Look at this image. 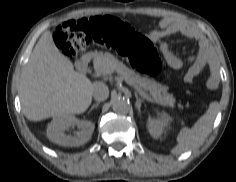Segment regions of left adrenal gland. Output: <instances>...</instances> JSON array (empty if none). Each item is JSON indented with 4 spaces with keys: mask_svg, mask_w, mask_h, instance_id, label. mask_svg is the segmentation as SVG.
I'll return each instance as SVG.
<instances>
[{
    "mask_svg": "<svg viewBox=\"0 0 236 182\" xmlns=\"http://www.w3.org/2000/svg\"><path fill=\"white\" fill-rule=\"evenodd\" d=\"M135 98H136V104L135 105H136V107L138 109V112L140 114L141 113V104H142V102H144V100L138 97L137 92H135Z\"/></svg>",
    "mask_w": 236,
    "mask_h": 182,
    "instance_id": "obj_1",
    "label": "left adrenal gland"
}]
</instances>
